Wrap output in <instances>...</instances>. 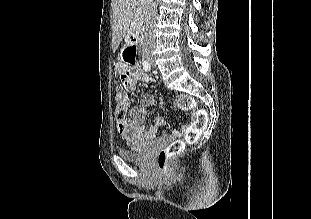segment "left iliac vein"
Wrapping results in <instances>:
<instances>
[{
    "mask_svg": "<svg viewBox=\"0 0 311 219\" xmlns=\"http://www.w3.org/2000/svg\"><path fill=\"white\" fill-rule=\"evenodd\" d=\"M151 65L154 67L155 64H154V60H151Z\"/></svg>",
    "mask_w": 311,
    "mask_h": 219,
    "instance_id": "4c4485c4",
    "label": "left iliac vein"
}]
</instances>
